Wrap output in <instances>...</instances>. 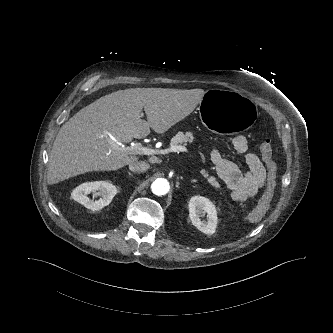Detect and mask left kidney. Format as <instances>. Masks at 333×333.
Returning <instances> with one entry per match:
<instances>
[{
	"mask_svg": "<svg viewBox=\"0 0 333 333\" xmlns=\"http://www.w3.org/2000/svg\"><path fill=\"white\" fill-rule=\"evenodd\" d=\"M189 217L192 224L205 234L215 233L217 226V212L215 205L207 198L194 196L189 202ZM207 214V221H201L200 217Z\"/></svg>",
	"mask_w": 333,
	"mask_h": 333,
	"instance_id": "5707ae66",
	"label": "left kidney"
}]
</instances>
